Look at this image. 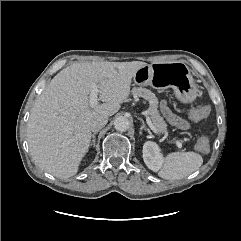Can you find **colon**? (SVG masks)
Here are the masks:
<instances>
[{
	"label": "colon",
	"mask_w": 241,
	"mask_h": 241,
	"mask_svg": "<svg viewBox=\"0 0 241 241\" xmlns=\"http://www.w3.org/2000/svg\"><path fill=\"white\" fill-rule=\"evenodd\" d=\"M210 112L211 109L207 105L192 107L189 109V116L195 121H200L207 118ZM196 148L202 153L208 152L210 148L208 139L205 137H201L197 142Z\"/></svg>",
	"instance_id": "obj_1"
}]
</instances>
